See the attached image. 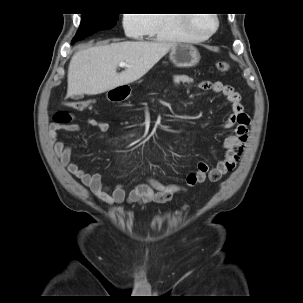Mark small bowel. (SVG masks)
Segmentation results:
<instances>
[{
	"instance_id": "small-bowel-1",
	"label": "small bowel",
	"mask_w": 303,
	"mask_h": 303,
	"mask_svg": "<svg viewBox=\"0 0 303 303\" xmlns=\"http://www.w3.org/2000/svg\"><path fill=\"white\" fill-rule=\"evenodd\" d=\"M172 82L176 87L181 84L195 83L194 79L186 74L173 75ZM196 85L201 90H210L213 93L221 94L229 102L232 114L221 127L231 128L232 133L223 141V148L225 149L224 158L212 168H210L207 162L200 161L197 171L187 177L184 185H166L154 178H150L148 182L138 184L128 194H126L121 184H116L113 187L105 185L98 174L87 173L77 163L73 162L71 160L72 149L66 146L62 140L57 139V132L59 130L79 131L80 127L77 124L52 125L49 128L48 134L50 145L62 166L84 186L89 188L93 196L102 203L108 205H120L126 201L140 205L150 202L157 204L167 203L176 195L186 192L197 183H202L206 179L211 182H217L225 174L233 170L248 139V129L251 120L243 111L241 94L232 86L224 84L221 81H214L212 83L197 82ZM87 122L102 136H106L110 130L109 124L105 121L89 118Z\"/></svg>"
}]
</instances>
